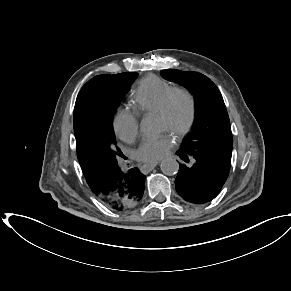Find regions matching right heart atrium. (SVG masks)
I'll return each instance as SVG.
<instances>
[{"label": "right heart atrium", "instance_id": "right-heart-atrium-1", "mask_svg": "<svg viewBox=\"0 0 291 291\" xmlns=\"http://www.w3.org/2000/svg\"><path fill=\"white\" fill-rule=\"evenodd\" d=\"M113 129L122 141L128 143L134 141L139 134L138 116L128 109H118L113 118Z\"/></svg>", "mask_w": 291, "mask_h": 291}]
</instances>
